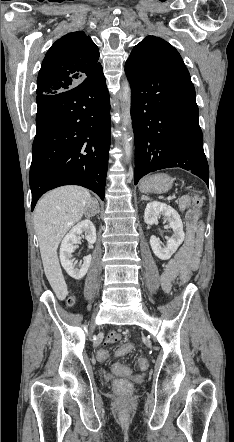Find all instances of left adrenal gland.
Instances as JSON below:
<instances>
[{"instance_id": "obj_1", "label": "left adrenal gland", "mask_w": 234, "mask_h": 442, "mask_svg": "<svg viewBox=\"0 0 234 442\" xmlns=\"http://www.w3.org/2000/svg\"><path fill=\"white\" fill-rule=\"evenodd\" d=\"M141 200H149L148 196L142 195Z\"/></svg>"}]
</instances>
